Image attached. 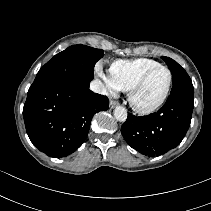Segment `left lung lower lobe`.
<instances>
[{"label":"left lung lower lobe","mask_w":211,"mask_h":211,"mask_svg":"<svg viewBox=\"0 0 211 211\" xmlns=\"http://www.w3.org/2000/svg\"><path fill=\"white\" fill-rule=\"evenodd\" d=\"M194 107V94L172 93L164 106L147 116L128 113L121 127L126 142L147 156L166 153L177 147L189 129Z\"/></svg>","instance_id":"left-lung-lower-lobe-1"}]
</instances>
